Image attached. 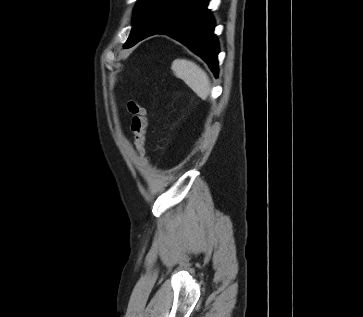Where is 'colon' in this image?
I'll return each mask as SVG.
<instances>
[{
	"label": "colon",
	"instance_id": "1",
	"mask_svg": "<svg viewBox=\"0 0 363 317\" xmlns=\"http://www.w3.org/2000/svg\"><path fill=\"white\" fill-rule=\"evenodd\" d=\"M127 108L132 117L131 130L134 134L135 150L140 156H143L146 142V110L135 100H130Z\"/></svg>",
	"mask_w": 363,
	"mask_h": 317
}]
</instances>
